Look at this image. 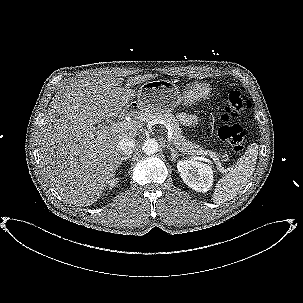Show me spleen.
<instances>
[{
    "label": "spleen",
    "mask_w": 303,
    "mask_h": 303,
    "mask_svg": "<svg viewBox=\"0 0 303 303\" xmlns=\"http://www.w3.org/2000/svg\"><path fill=\"white\" fill-rule=\"evenodd\" d=\"M257 156L258 145L251 144L244 155L237 160L235 167L217 182L212 195L214 203H224L237 196L253 175Z\"/></svg>",
    "instance_id": "3e777b00"
}]
</instances>
